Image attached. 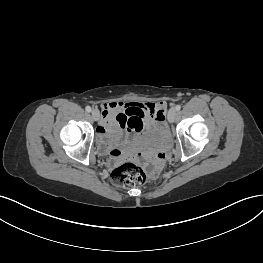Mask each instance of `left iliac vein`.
I'll return each mask as SVG.
<instances>
[{"instance_id":"1","label":"left iliac vein","mask_w":263,"mask_h":263,"mask_svg":"<svg viewBox=\"0 0 263 263\" xmlns=\"http://www.w3.org/2000/svg\"><path fill=\"white\" fill-rule=\"evenodd\" d=\"M176 116H177V111H176V109L171 108V109L169 110V112H168V121H169L170 123H173V122L175 121V119H176Z\"/></svg>"}]
</instances>
